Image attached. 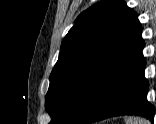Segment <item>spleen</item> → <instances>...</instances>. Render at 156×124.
Masks as SVG:
<instances>
[{
  "mask_svg": "<svg viewBox=\"0 0 156 124\" xmlns=\"http://www.w3.org/2000/svg\"><path fill=\"white\" fill-rule=\"evenodd\" d=\"M126 124H149V121L139 117L126 118Z\"/></svg>",
  "mask_w": 156,
  "mask_h": 124,
  "instance_id": "obj_1",
  "label": "spleen"
}]
</instances>
